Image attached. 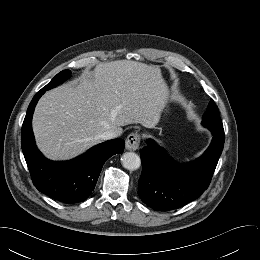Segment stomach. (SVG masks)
I'll list each match as a JSON object with an SVG mask.
<instances>
[{
    "instance_id": "1",
    "label": "stomach",
    "mask_w": 260,
    "mask_h": 260,
    "mask_svg": "<svg viewBox=\"0 0 260 260\" xmlns=\"http://www.w3.org/2000/svg\"><path fill=\"white\" fill-rule=\"evenodd\" d=\"M167 108H168V105H167V102H166V104H165V106L163 107V110H162V111L166 110Z\"/></svg>"
}]
</instances>
